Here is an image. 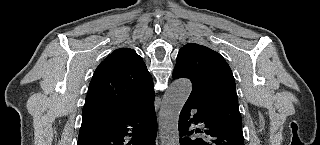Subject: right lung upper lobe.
I'll list each match as a JSON object with an SVG mask.
<instances>
[{
    "instance_id": "obj_1",
    "label": "right lung upper lobe",
    "mask_w": 320,
    "mask_h": 145,
    "mask_svg": "<svg viewBox=\"0 0 320 145\" xmlns=\"http://www.w3.org/2000/svg\"><path fill=\"white\" fill-rule=\"evenodd\" d=\"M154 97L153 80L142 58L120 48L97 67L83 107L82 125L124 117Z\"/></svg>"
}]
</instances>
